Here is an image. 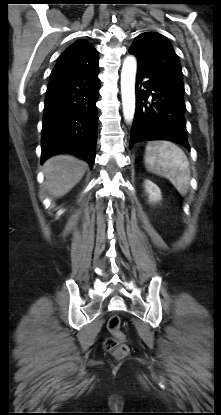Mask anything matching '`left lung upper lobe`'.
Returning a JSON list of instances; mask_svg holds the SVG:
<instances>
[{
	"instance_id": "1",
	"label": "left lung upper lobe",
	"mask_w": 221,
	"mask_h": 415,
	"mask_svg": "<svg viewBox=\"0 0 221 415\" xmlns=\"http://www.w3.org/2000/svg\"><path fill=\"white\" fill-rule=\"evenodd\" d=\"M137 57L138 68L166 83L184 90L178 56L170 42L157 32L138 35L129 49Z\"/></svg>"
}]
</instances>
